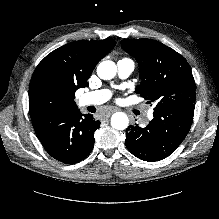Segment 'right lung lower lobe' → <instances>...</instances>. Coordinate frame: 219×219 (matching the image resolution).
Returning <instances> with one entry per match:
<instances>
[{
  "mask_svg": "<svg viewBox=\"0 0 219 219\" xmlns=\"http://www.w3.org/2000/svg\"><path fill=\"white\" fill-rule=\"evenodd\" d=\"M34 129L45 150L56 160L75 164L85 159L94 146V132L100 121L76 110L58 114H34Z\"/></svg>",
  "mask_w": 219,
  "mask_h": 219,
  "instance_id": "98d812e1",
  "label": "right lung lower lobe"
}]
</instances>
